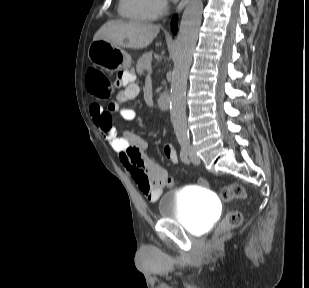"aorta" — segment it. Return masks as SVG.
<instances>
[{
	"instance_id": "1",
	"label": "aorta",
	"mask_w": 309,
	"mask_h": 288,
	"mask_svg": "<svg viewBox=\"0 0 309 288\" xmlns=\"http://www.w3.org/2000/svg\"><path fill=\"white\" fill-rule=\"evenodd\" d=\"M202 0H190L182 15L174 54L171 80L170 116L178 140L188 137L186 125V86L192 53L198 39L202 20Z\"/></svg>"
}]
</instances>
